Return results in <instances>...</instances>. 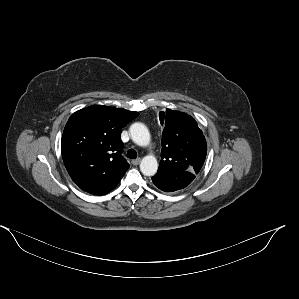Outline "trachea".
<instances>
[{
  "mask_svg": "<svg viewBox=\"0 0 299 299\" xmlns=\"http://www.w3.org/2000/svg\"><path fill=\"white\" fill-rule=\"evenodd\" d=\"M127 157L130 159H136L137 158V152L134 149H129L127 151Z\"/></svg>",
  "mask_w": 299,
  "mask_h": 299,
  "instance_id": "1",
  "label": "trachea"
}]
</instances>
